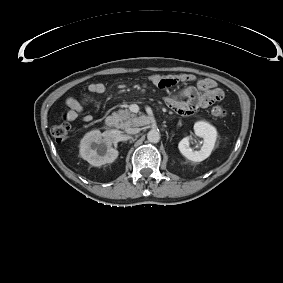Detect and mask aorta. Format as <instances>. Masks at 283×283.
<instances>
[{
    "label": "aorta",
    "mask_w": 283,
    "mask_h": 283,
    "mask_svg": "<svg viewBox=\"0 0 283 283\" xmlns=\"http://www.w3.org/2000/svg\"><path fill=\"white\" fill-rule=\"evenodd\" d=\"M161 135L158 130L152 129L147 133V139L150 143H158Z\"/></svg>",
    "instance_id": "obj_1"
}]
</instances>
